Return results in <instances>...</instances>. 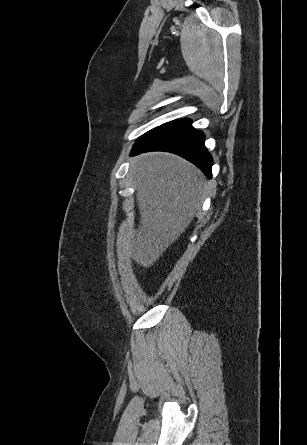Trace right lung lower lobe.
Segmentation results:
<instances>
[{
  "instance_id": "1",
  "label": "right lung lower lobe",
  "mask_w": 307,
  "mask_h": 445,
  "mask_svg": "<svg viewBox=\"0 0 307 445\" xmlns=\"http://www.w3.org/2000/svg\"><path fill=\"white\" fill-rule=\"evenodd\" d=\"M191 120L181 119L164 123L135 143L131 156L148 151H166L177 154L199 167L211 178L212 157L204 146L205 136L191 126Z\"/></svg>"
}]
</instances>
